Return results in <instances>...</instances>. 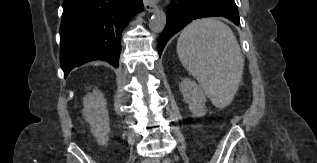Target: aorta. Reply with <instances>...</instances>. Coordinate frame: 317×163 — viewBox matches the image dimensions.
I'll list each match as a JSON object with an SVG mask.
<instances>
[{"label": "aorta", "instance_id": "aorta-1", "mask_svg": "<svg viewBox=\"0 0 317 163\" xmlns=\"http://www.w3.org/2000/svg\"><path fill=\"white\" fill-rule=\"evenodd\" d=\"M166 25V14L162 10L154 12L149 21V28L152 32L160 33Z\"/></svg>", "mask_w": 317, "mask_h": 163}]
</instances>
